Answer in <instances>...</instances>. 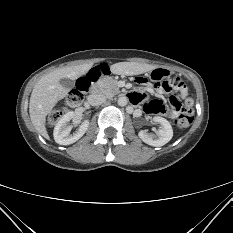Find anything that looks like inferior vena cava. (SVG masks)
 I'll return each mask as SVG.
<instances>
[{
	"label": "inferior vena cava",
	"instance_id": "602c4592",
	"mask_svg": "<svg viewBox=\"0 0 233 233\" xmlns=\"http://www.w3.org/2000/svg\"><path fill=\"white\" fill-rule=\"evenodd\" d=\"M107 97L104 94H99V95H89L87 100L90 105L92 106H98L101 105L106 101Z\"/></svg>",
	"mask_w": 233,
	"mask_h": 233
}]
</instances>
